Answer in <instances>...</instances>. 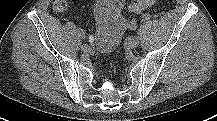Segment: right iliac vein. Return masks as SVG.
<instances>
[{
    "instance_id": "obj_1",
    "label": "right iliac vein",
    "mask_w": 217,
    "mask_h": 121,
    "mask_svg": "<svg viewBox=\"0 0 217 121\" xmlns=\"http://www.w3.org/2000/svg\"><path fill=\"white\" fill-rule=\"evenodd\" d=\"M81 48H82V50H83L84 52H86V53H90V52H91V48H90V46L87 45V44L82 45Z\"/></svg>"
}]
</instances>
